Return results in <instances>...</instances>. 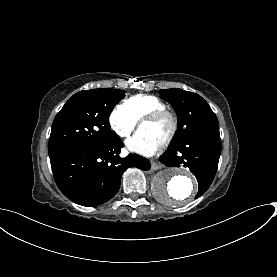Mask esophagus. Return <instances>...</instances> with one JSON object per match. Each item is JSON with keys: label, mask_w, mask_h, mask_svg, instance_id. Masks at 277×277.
<instances>
[{"label": "esophagus", "mask_w": 277, "mask_h": 277, "mask_svg": "<svg viewBox=\"0 0 277 277\" xmlns=\"http://www.w3.org/2000/svg\"><path fill=\"white\" fill-rule=\"evenodd\" d=\"M150 163H151V168L153 169V170H159V169H162L164 166L159 162V160L158 159H155V158H153V159H151L150 160Z\"/></svg>", "instance_id": "esophagus-1"}]
</instances>
